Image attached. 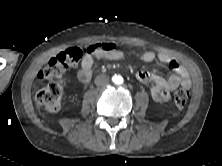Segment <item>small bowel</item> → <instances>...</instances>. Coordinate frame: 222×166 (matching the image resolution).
Listing matches in <instances>:
<instances>
[{"instance_id":"small-bowel-1","label":"small bowel","mask_w":222,"mask_h":166,"mask_svg":"<svg viewBox=\"0 0 222 166\" xmlns=\"http://www.w3.org/2000/svg\"><path fill=\"white\" fill-rule=\"evenodd\" d=\"M125 56L121 50L115 49L103 51L100 50L93 55H86L83 57L81 65L77 71V78L81 83H89L92 78V68L95 59H110L120 60ZM141 59L144 62H152L156 58L163 64L168 65L173 69L174 73L168 78L151 73L147 70H140L137 72V79L146 84H151V96L157 102H163L170 99V93L178 86L189 89L192 85L191 78L185 67L180 65L169 55L165 53L155 54L153 51H145L141 54Z\"/></svg>"}]
</instances>
